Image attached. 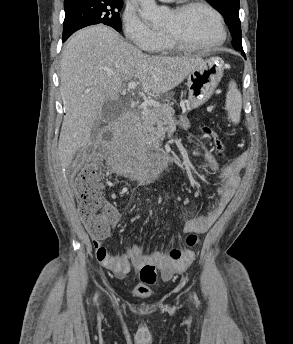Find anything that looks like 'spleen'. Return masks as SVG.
Here are the masks:
<instances>
[{
    "label": "spleen",
    "mask_w": 293,
    "mask_h": 344,
    "mask_svg": "<svg viewBox=\"0 0 293 344\" xmlns=\"http://www.w3.org/2000/svg\"><path fill=\"white\" fill-rule=\"evenodd\" d=\"M242 108V96L237 89L236 84L232 81L229 84V89L226 95V110L228 111V118L234 123L238 124L240 121Z\"/></svg>",
    "instance_id": "1"
}]
</instances>
